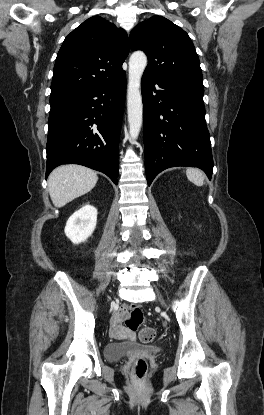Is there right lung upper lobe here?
<instances>
[{
  "instance_id": "right-lung-upper-lobe-1",
  "label": "right lung upper lobe",
  "mask_w": 264,
  "mask_h": 415,
  "mask_svg": "<svg viewBox=\"0 0 264 415\" xmlns=\"http://www.w3.org/2000/svg\"><path fill=\"white\" fill-rule=\"evenodd\" d=\"M128 53L123 29L100 16L87 19L65 38L57 54L50 99L115 80L125 73L122 64Z\"/></svg>"
}]
</instances>
